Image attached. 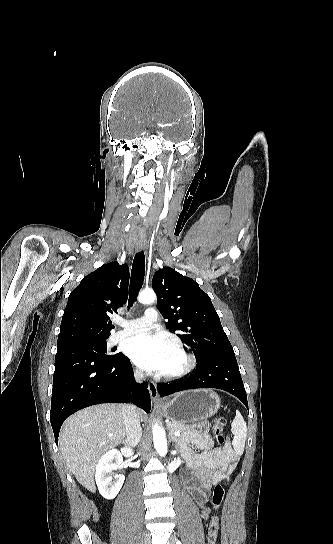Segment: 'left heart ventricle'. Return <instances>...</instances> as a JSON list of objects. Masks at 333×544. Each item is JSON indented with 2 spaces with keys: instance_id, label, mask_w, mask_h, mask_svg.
Instances as JSON below:
<instances>
[{
  "instance_id": "left-heart-ventricle-1",
  "label": "left heart ventricle",
  "mask_w": 333,
  "mask_h": 544,
  "mask_svg": "<svg viewBox=\"0 0 333 544\" xmlns=\"http://www.w3.org/2000/svg\"><path fill=\"white\" fill-rule=\"evenodd\" d=\"M183 365L182 357L173 349L169 353L165 368L161 373H170L179 369Z\"/></svg>"
}]
</instances>
